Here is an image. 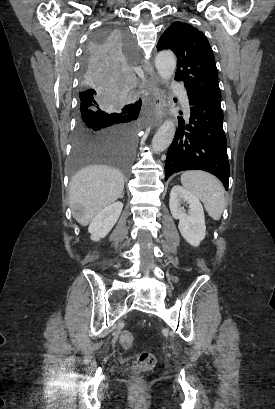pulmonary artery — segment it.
Returning <instances> with one entry per match:
<instances>
[{"label":"pulmonary artery","instance_id":"pulmonary-artery-1","mask_svg":"<svg viewBox=\"0 0 275 409\" xmlns=\"http://www.w3.org/2000/svg\"><path fill=\"white\" fill-rule=\"evenodd\" d=\"M180 98H181V103L183 105L184 111L188 115L189 114V100H188L186 93H182Z\"/></svg>","mask_w":275,"mask_h":409}]
</instances>
